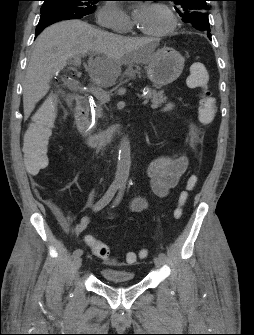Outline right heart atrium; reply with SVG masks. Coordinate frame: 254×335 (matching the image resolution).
<instances>
[{"mask_svg": "<svg viewBox=\"0 0 254 335\" xmlns=\"http://www.w3.org/2000/svg\"><path fill=\"white\" fill-rule=\"evenodd\" d=\"M97 23L117 32H128L131 29L129 18L121 7L114 2H108L99 8Z\"/></svg>", "mask_w": 254, "mask_h": 335, "instance_id": "right-heart-atrium-1", "label": "right heart atrium"}]
</instances>
